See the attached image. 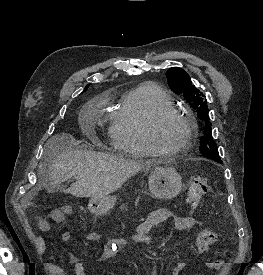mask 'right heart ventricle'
<instances>
[{
    "instance_id": "obj_1",
    "label": "right heart ventricle",
    "mask_w": 263,
    "mask_h": 275,
    "mask_svg": "<svg viewBox=\"0 0 263 275\" xmlns=\"http://www.w3.org/2000/svg\"><path fill=\"white\" fill-rule=\"evenodd\" d=\"M173 107L172 99L156 84L144 83L128 90L111 114L113 147L134 157L153 156L154 152L145 138V125L156 111Z\"/></svg>"
}]
</instances>
